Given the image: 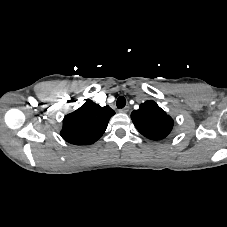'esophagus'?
I'll use <instances>...</instances> for the list:
<instances>
[{
    "mask_svg": "<svg viewBox=\"0 0 227 227\" xmlns=\"http://www.w3.org/2000/svg\"><path fill=\"white\" fill-rule=\"evenodd\" d=\"M129 111V106H125L124 108L120 109L119 112L127 113Z\"/></svg>",
    "mask_w": 227,
    "mask_h": 227,
    "instance_id": "1",
    "label": "esophagus"
}]
</instances>
